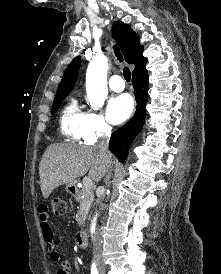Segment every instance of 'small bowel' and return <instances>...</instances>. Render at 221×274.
Here are the masks:
<instances>
[{
    "instance_id": "c3829d8e",
    "label": "small bowel",
    "mask_w": 221,
    "mask_h": 274,
    "mask_svg": "<svg viewBox=\"0 0 221 274\" xmlns=\"http://www.w3.org/2000/svg\"><path fill=\"white\" fill-rule=\"evenodd\" d=\"M38 214H39L41 231L47 243L50 257L53 262L58 263L60 265L56 274H70L68 261L63 257L61 252L56 248L53 223H52L49 207L47 205H39Z\"/></svg>"
}]
</instances>
